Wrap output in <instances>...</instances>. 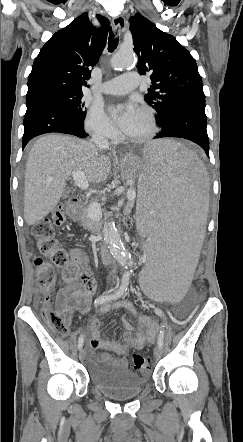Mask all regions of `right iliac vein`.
I'll use <instances>...</instances> for the list:
<instances>
[{
    "instance_id": "63e3f726",
    "label": "right iliac vein",
    "mask_w": 243,
    "mask_h": 442,
    "mask_svg": "<svg viewBox=\"0 0 243 442\" xmlns=\"http://www.w3.org/2000/svg\"><path fill=\"white\" fill-rule=\"evenodd\" d=\"M79 358L80 360H84L86 358V351L83 348L80 349Z\"/></svg>"
}]
</instances>
